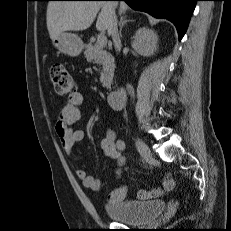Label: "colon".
Masks as SVG:
<instances>
[{
  "instance_id": "colon-1",
  "label": "colon",
  "mask_w": 231,
  "mask_h": 231,
  "mask_svg": "<svg viewBox=\"0 0 231 231\" xmlns=\"http://www.w3.org/2000/svg\"><path fill=\"white\" fill-rule=\"evenodd\" d=\"M50 77L57 95L66 97L74 94L76 85L72 75L62 64H54L50 69Z\"/></svg>"
}]
</instances>
